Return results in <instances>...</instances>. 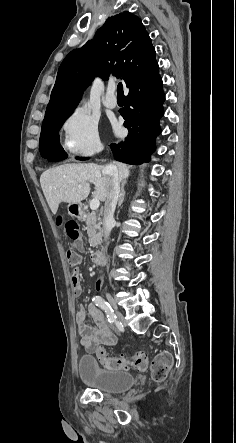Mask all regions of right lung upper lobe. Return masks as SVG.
<instances>
[{"label":"right lung upper lobe","instance_id":"cb5924a9","mask_svg":"<svg viewBox=\"0 0 236 443\" xmlns=\"http://www.w3.org/2000/svg\"><path fill=\"white\" fill-rule=\"evenodd\" d=\"M155 62V49L140 18L127 11L109 17L91 41L63 60L44 120L73 111L95 76L106 79L112 74L127 84Z\"/></svg>","mask_w":236,"mask_h":443}]
</instances>
